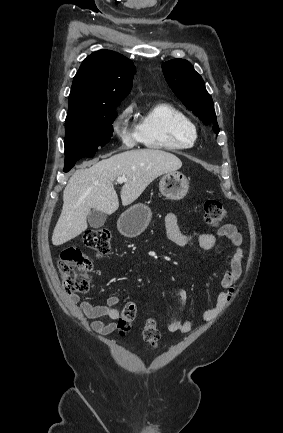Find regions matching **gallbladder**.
I'll return each instance as SVG.
<instances>
[{"instance_id":"gallbladder-1","label":"gallbladder","mask_w":283,"mask_h":433,"mask_svg":"<svg viewBox=\"0 0 283 433\" xmlns=\"http://www.w3.org/2000/svg\"><path fill=\"white\" fill-rule=\"evenodd\" d=\"M107 214L105 212H101V210H90L89 214H87V219L90 227L93 229H99V227H103L106 221Z\"/></svg>"}]
</instances>
